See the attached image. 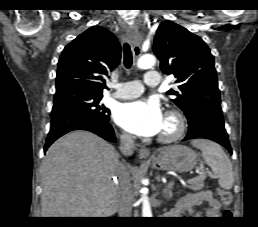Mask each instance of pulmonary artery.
I'll return each instance as SVG.
<instances>
[{
	"mask_svg": "<svg viewBox=\"0 0 258 227\" xmlns=\"http://www.w3.org/2000/svg\"><path fill=\"white\" fill-rule=\"evenodd\" d=\"M144 82L149 86L160 84V75L157 71H148L145 74ZM144 92L143 84L138 81L122 82L117 85L116 91L112 94L114 98L125 100L140 96Z\"/></svg>",
	"mask_w": 258,
	"mask_h": 227,
	"instance_id": "pulmonary-artery-1",
	"label": "pulmonary artery"
}]
</instances>
